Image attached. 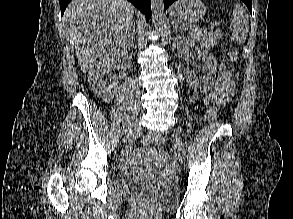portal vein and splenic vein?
I'll return each mask as SVG.
<instances>
[{
	"instance_id": "18ae733b",
	"label": "portal vein and splenic vein",
	"mask_w": 293,
	"mask_h": 219,
	"mask_svg": "<svg viewBox=\"0 0 293 219\" xmlns=\"http://www.w3.org/2000/svg\"><path fill=\"white\" fill-rule=\"evenodd\" d=\"M219 25V23L218 22H214V23H211V25H210V30L212 31V30H214V28L216 27V26H218Z\"/></svg>"
}]
</instances>
